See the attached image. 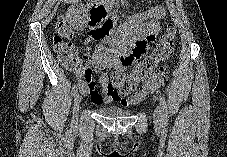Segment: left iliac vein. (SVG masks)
Listing matches in <instances>:
<instances>
[{"mask_svg": "<svg viewBox=\"0 0 227 157\" xmlns=\"http://www.w3.org/2000/svg\"><path fill=\"white\" fill-rule=\"evenodd\" d=\"M153 116H154V120H155L156 122L160 121V119H161V110H160V107H157V108L154 110Z\"/></svg>", "mask_w": 227, "mask_h": 157, "instance_id": "4c4485c4", "label": "left iliac vein"}]
</instances>
